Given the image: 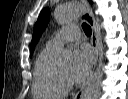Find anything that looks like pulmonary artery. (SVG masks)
I'll use <instances>...</instances> for the list:
<instances>
[{
  "label": "pulmonary artery",
  "instance_id": "1",
  "mask_svg": "<svg viewBox=\"0 0 128 99\" xmlns=\"http://www.w3.org/2000/svg\"><path fill=\"white\" fill-rule=\"evenodd\" d=\"M80 36V30L76 25H68L48 41L47 47L57 49L65 43L78 41Z\"/></svg>",
  "mask_w": 128,
  "mask_h": 99
}]
</instances>
